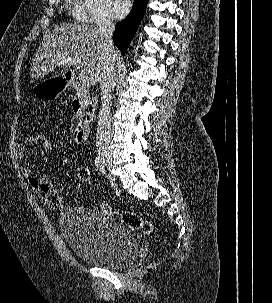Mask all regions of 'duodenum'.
<instances>
[{
    "instance_id": "duodenum-1",
    "label": "duodenum",
    "mask_w": 272,
    "mask_h": 303,
    "mask_svg": "<svg viewBox=\"0 0 272 303\" xmlns=\"http://www.w3.org/2000/svg\"><path fill=\"white\" fill-rule=\"evenodd\" d=\"M65 80L68 85L73 86L78 90V94L72 101V109L78 119L74 130V140L81 143L84 142L88 136L89 124L93 120L96 111V102L92 100L87 107L84 108L82 105L81 89L76 77L73 74H67Z\"/></svg>"
}]
</instances>
